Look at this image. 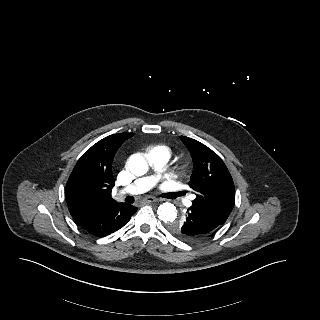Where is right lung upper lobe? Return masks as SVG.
Wrapping results in <instances>:
<instances>
[{"mask_svg":"<svg viewBox=\"0 0 320 320\" xmlns=\"http://www.w3.org/2000/svg\"><path fill=\"white\" fill-rule=\"evenodd\" d=\"M133 135L119 133L105 137L78 160L65 188L66 202L74 219L116 203L111 197L115 183L112 161L122 143Z\"/></svg>","mask_w":320,"mask_h":320,"instance_id":"1","label":"right lung upper lobe"}]
</instances>
